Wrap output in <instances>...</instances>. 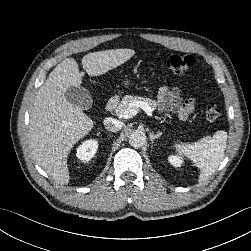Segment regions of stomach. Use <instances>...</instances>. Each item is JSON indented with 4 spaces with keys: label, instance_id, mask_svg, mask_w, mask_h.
Listing matches in <instances>:
<instances>
[{
    "label": "stomach",
    "instance_id": "0dacf381",
    "mask_svg": "<svg viewBox=\"0 0 251 251\" xmlns=\"http://www.w3.org/2000/svg\"><path fill=\"white\" fill-rule=\"evenodd\" d=\"M123 84H124L125 87H129L130 86V81L124 80Z\"/></svg>",
    "mask_w": 251,
    "mask_h": 251
}]
</instances>
